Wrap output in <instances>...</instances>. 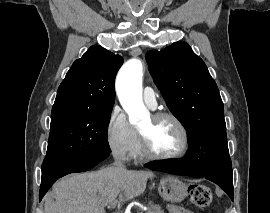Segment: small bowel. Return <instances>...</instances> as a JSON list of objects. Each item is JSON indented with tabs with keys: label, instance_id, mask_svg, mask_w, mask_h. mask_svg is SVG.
<instances>
[{
	"label": "small bowel",
	"instance_id": "obj_1",
	"mask_svg": "<svg viewBox=\"0 0 270 213\" xmlns=\"http://www.w3.org/2000/svg\"><path fill=\"white\" fill-rule=\"evenodd\" d=\"M169 213H193L190 210H187L185 208L182 207H178V206H170L168 208Z\"/></svg>",
	"mask_w": 270,
	"mask_h": 213
}]
</instances>
